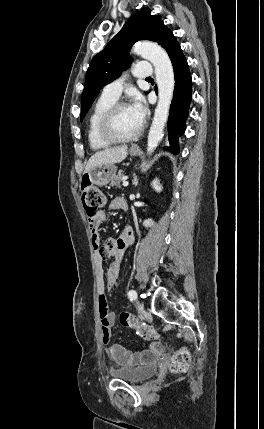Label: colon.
Wrapping results in <instances>:
<instances>
[{
    "label": "colon",
    "mask_w": 264,
    "mask_h": 429,
    "mask_svg": "<svg viewBox=\"0 0 264 429\" xmlns=\"http://www.w3.org/2000/svg\"><path fill=\"white\" fill-rule=\"evenodd\" d=\"M81 198L89 219H95L106 202L102 191L88 181L82 183ZM119 320L122 326L135 329L137 333L146 340L158 339V333L151 326L140 322L137 317L130 312L122 311L119 315ZM189 365V351L182 348L172 356L170 369L174 373H184L188 370Z\"/></svg>",
    "instance_id": "colon-1"
}]
</instances>
